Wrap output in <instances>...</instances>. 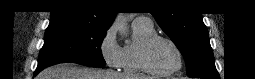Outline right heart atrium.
<instances>
[{
    "label": "right heart atrium",
    "mask_w": 255,
    "mask_h": 79,
    "mask_svg": "<svg viewBox=\"0 0 255 79\" xmlns=\"http://www.w3.org/2000/svg\"><path fill=\"white\" fill-rule=\"evenodd\" d=\"M99 52L108 67L113 69L121 67L122 47L116 40L113 27H109L103 34L99 42Z\"/></svg>",
    "instance_id": "d8ad5b80"
}]
</instances>
